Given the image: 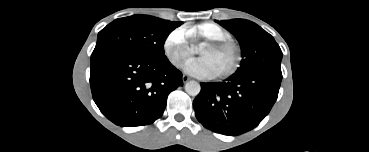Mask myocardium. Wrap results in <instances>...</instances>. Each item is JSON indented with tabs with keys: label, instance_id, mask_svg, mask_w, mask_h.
<instances>
[{
	"label": "myocardium",
	"instance_id": "f54148a6",
	"mask_svg": "<svg viewBox=\"0 0 369 152\" xmlns=\"http://www.w3.org/2000/svg\"><path fill=\"white\" fill-rule=\"evenodd\" d=\"M224 47H231L234 49L235 51V60H234V63L233 65L226 71L220 73V74H217V75H214L213 78L214 79H226L232 75H234L238 69L240 68L241 66V63H242V50H241V47L240 45L235 42L234 40L232 39H221V40H211V41H208L206 43H204L200 49H203V48H207V49H212V50H216V49H220V48H224Z\"/></svg>",
	"mask_w": 369,
	"mask_h": 152
}]
</instances>
